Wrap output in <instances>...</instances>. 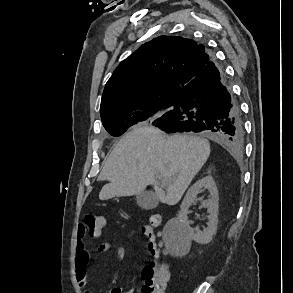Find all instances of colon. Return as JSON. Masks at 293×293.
<instances>
[{"mask_svg":"<svg viewBox=\"0 0 293 293\" xmlns=\"http://www.w3.org/2000/svg\"><path fill=\"white\" fill-rule=\"evenodd\" d=\"M150 225L143 228V233L151 239L148 250L151 261L142 269V293H166L170 272L168 266L160 261L164 251L155 242V227L160 224V217L153 214L149 218ZM106 226V216L92 212L85 213L80 227L86 237L98 239Z\"/></svg>","mask_w":293,"mask_h":293,"instance_id":"colon-1","label":"colon"}]
</instances>
